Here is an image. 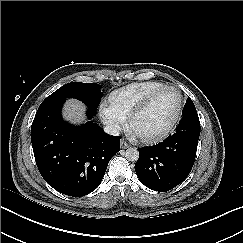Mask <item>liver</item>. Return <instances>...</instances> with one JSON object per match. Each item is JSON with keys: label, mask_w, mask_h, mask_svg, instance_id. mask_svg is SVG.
I'll return each instance as SVG.
<instances>
[{"label": "liver", "mask_w": 243, "mask_h": 243, "mask_svg": "<svg viewBox=\"0 0 243 243\" xmlns=\"http://www.w3.org/2000/svg\"><path fill=\"white\" fill-rule=\"evenodd\" d=\"M63 118L73 124H80L85 120V105L75 99H69L66 101L63 107Z\"/></svg>", "instance_id": "6515ba94"}]
</instances>
